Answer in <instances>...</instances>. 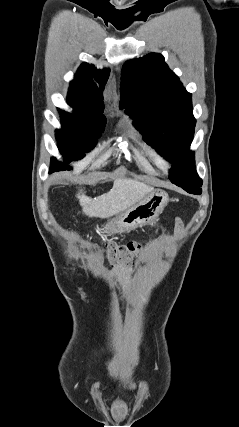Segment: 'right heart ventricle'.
<instances>
[{"instance_id":"e07e8e85","label":"right heart ventricle","mask_w":239,"mask_h":427,"mask_svg":"<svg viewBox=\"0 0 239 427\" xmlns=\"http://www.w3.org/2000/svg\"><path fill=\"white\" fill-rule=\"evenodd\" d=\"M132 134H134L136 136H139V133L136 130H134V129H132Z\"/></svg>"}]
</instances>
